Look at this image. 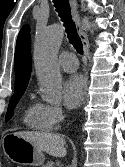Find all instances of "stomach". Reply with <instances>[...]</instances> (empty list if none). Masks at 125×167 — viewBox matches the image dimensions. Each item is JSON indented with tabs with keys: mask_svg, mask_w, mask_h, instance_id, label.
Segmentation results:
<instances>
[{
	"mask_svg": "<svg viewBox=\"0 0 125 167\" xmlns=\"http://www.w3.org/2000/svg\"><path fill=\"white\" fill-rule=\"evenodd\" d=\"M5 139L7 141L3 144L4 152L13 162L33 166L43 164L45 160L43 152L32 143L15 134H8Z\"/></svg>",
	"mask_w": 125,
	"mask_h": 167,
	"instance_id": "1",
	"label": "stomach"
}]
</instances>
